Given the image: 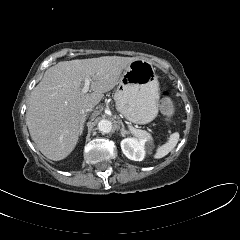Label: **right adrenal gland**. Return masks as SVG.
Masks as SVG:
<instances>
[{
    "instance_id": "obj_1",
    "label": "right adrenal gland",
    "mask_w": 240,
    "mask_h": 240,
    "mask_svg": "<svg viewBox=\"0 0 240 240\" xmlns=\"http://www.w3.org/2000/svg\"><path fill=\"white\" fill-rule=\"evenodd\" d=\"M86 119H87V115L85 114V115L82 116L80 135L83 134L84 123H85Z\"/></svg>"
}]
</instances>
